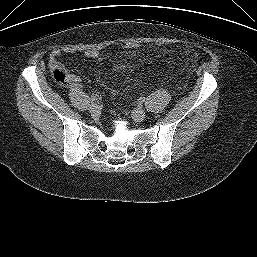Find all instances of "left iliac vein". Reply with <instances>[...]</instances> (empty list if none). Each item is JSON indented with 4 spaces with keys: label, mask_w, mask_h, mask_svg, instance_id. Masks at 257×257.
I'll use <instances>...</instances> for the list:
<instances>
[{
    "label": "left iliac vein",
    "mask_w": 257,
    "mask_h": 257,
    "mask_svg": "<svg viewBox=\"0 0 257 257\" xmlns=\"http://www.w3.org/2000/svg\"><path fill=\"white\" fill-rule=\"evenodd\" d=\"M132 118L136 122H142L146 118V113L143 109L137 108L132 112Z\"/></svg>",
    "instance_id": "1"
}]
</instances>
